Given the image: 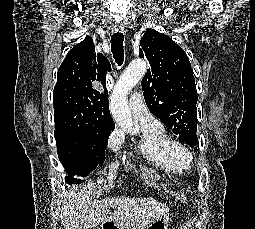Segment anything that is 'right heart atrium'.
Instances as JSON below:
<instances>
[{"instance_id": "d8ad5b80", "label": "right heart atrium", "mask_w": 255, "mask_h": 229, "mask_svg": "<svg viewBox=\"0 0 255 229\" xmlns=\"http://www.w3.org/2000/svg\"><path fill=\"white\" fill-rule=\"evenodd\" d=\"M122 142V137L118 131H114L108 140V148L110 150H116Z\"/></svg>"}]
</instances>
